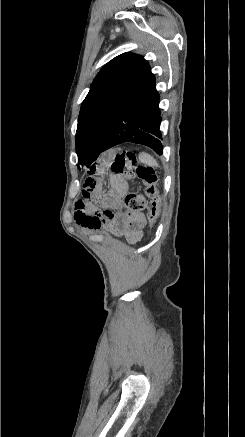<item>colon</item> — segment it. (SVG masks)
I'll list each match as a JSON object with an SVG mask.
<instances>
[{"instance_id":"colon-1","label":"colon","mask_w":245,"mask_h":437,"mask_svg":"<svg viewBox=\"0 0 245 437\" xmlns=\"http://www.w3.org/2000/svg\"><path fill=\"white\" fill-rule=\"evenodd\" d=\"M114 173L122 175L127 180L139 178L145 186V196L137 193H129L122 202L125 212L133 213L148 210V221L154 226L161 214V199L157 189V174L153 167L138 161L136 155L130 151H121L115 155L113 167Z\"/></svg>"}]
</instances>
